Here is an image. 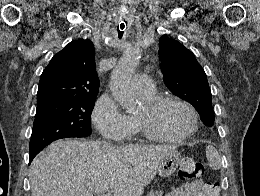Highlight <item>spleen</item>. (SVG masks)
<instances>
[{
	"instance_id": "spleen-1",
	"label": "spleen",
	"mask_w": 260,
	"mask_h": 196,
	"mask_svg": "<svg viewBox=\"0 0 260 196\" xmlns=\"http://www.w3.org/2000/svg\"><path fill=\"white\" fill-rule=\"evenodd\" d=\"M206 158L209 162L210 168L212 170H219L221 168V158L214 146H207L206 148Z\"/></svg>"
}]
</instances>
